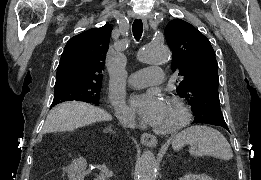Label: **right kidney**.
<instances>
[{
    "label": "right kidney",
    "instance_id": "ca27d5eb",
    "mask_svg": "<svg viewBox=\"0 0 261 180\" xmlns=\"http://www.w3.org/2000/svg\"><path fill=\"white\" fill-rule=\"evenodd\" d=\"M69 176H71L72 180H77L78 176L84 180V172L86 170V160L83 158H79V160H74V164L66 168Z\"/></svg>",
    "mask_w": 261,
    "mask_h": 180
}]
</instances>
